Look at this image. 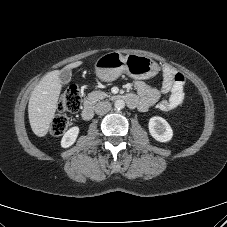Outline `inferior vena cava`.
I'll return each mask as SVG.
<instances>
[{
	"mask_svg": "<svg viewBox=\"0 0 227 227\" xmlns=\"http://www.w3.org/2000/svg\"><path fill=\"white\" fill-rule=\"evenodd\" d=\"M111 103L108 101H100L95 105V113L98 115L106 114L111 110Z\"/></svg>",
	"mask_w": 227,
	"mask_h": 227,
	"instance_id": "602c4592",
	"label": "inferior vena cava"
}]
</instances>
